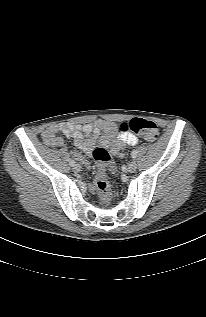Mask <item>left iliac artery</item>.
I'll return each instance as SVG.
<instances>
[{
  "mask_svg": "<svg viewBox=\"0 0 206 317\" xmlns=\"http://www.w3.org/2000/svg\"><path fill=\"white\" fill-rule=\"evenodd\" d=\"M136 156H137V151H136V150H133V151L131 152V157H132V158H136Z\"/></svg>",
  "mask_w": 206,
  "mask_h": 317,
  "instance_id": "left-iliac-artery-1",
  "label": "left iliac artery"
}]
</instances>
